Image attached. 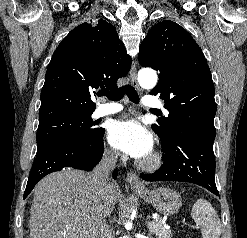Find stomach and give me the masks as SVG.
I'll return each mask as SVG.
<instances>
[{"label": "stomach", "instance_id": "1", "mask_svg": "<svg viewBox=\"0 0 247 238\" xmlns=\"http://www.w3.org/2000/svg\"><path fill=\"white\" fill-rule=\"evenodd\" d=\"M140 198L150 203L163 215L175 214L182 205L181 196L174 190L168 188H157L152 191H138Z\"/></svg>", "mask_w": 247, "mask_h": 238}]
</instances>
